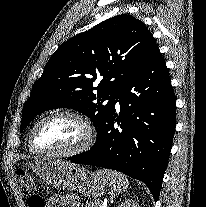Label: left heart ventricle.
<instances>
[{
	"instance_id": "obj_1",
	"label": "left heart ventricle",
	"mask_w": 206,
	"mask_h": 207,
	"mask_svg": "<svg viewBox=\"0 0 206 207\" xmlns=\"http://www.w3.org/2000/svg\"><path fill=\"white\" fill-rule=\"evenodd\" d=\"M86 137L84 126L67 116L44 121L35 132L37 146L50 150H69L79 146Z\"/></svg>"
}]
</instances>
